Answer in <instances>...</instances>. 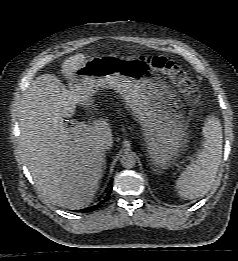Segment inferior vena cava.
<instances>
[{"label": "inferior vena cava", "mask_w": 238, "mask_h": 261, "mask_svg": "<svg viewBox=\"0 0 238 261\" xmlns=\"http://www.w3.org/2000/svg\"><path fill=\"white\" fill-rule=\"evenodd\" d=\"M109 148H110V146L108 144L102 143V144L99 145V150L103 153H104V151L108 150Z\"/></svg>", "instance_id": "inferior-vena-cava-1"}]
</instances>
